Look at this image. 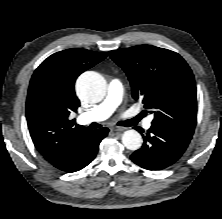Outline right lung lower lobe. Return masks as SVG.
Masks as SVG:
<instances>
[{"mask_svg":"<svg viewBox=\"0 0 222 219\" xmlns=\"http://www.w3.org/2000/svg\"><path fill=\"white\" fill-rule=\"evenodd\" d=\"M107 128L89 130L78 141L70 156L59 167V170L72 173L83 169L96 156L101 140L108 134Z\"/></svg>","mask_w":222,"mask_h":219,"instance_id":"obj_1","label":"right lung lower lobe"}]
</instances>
